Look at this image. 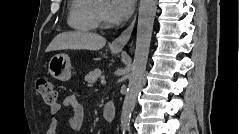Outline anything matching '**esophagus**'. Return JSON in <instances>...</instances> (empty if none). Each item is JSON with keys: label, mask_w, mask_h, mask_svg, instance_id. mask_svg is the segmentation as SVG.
<instances>
[{"label": "esophagus", "mask_w": 239, "mask_h": 134, "mask_svg": "<svg viewBox=\"0 0 239 134\" xmlns=\"http://www.w3.org/2000/svg\"><path fill=\"white\" fill-rule=\"evenodd\" d=\"M136 16L130 23V25L116 38L112 41L111 46L116 49H122L128 43L131 38L133 28L135 25Z\"/></svg>", "instance_id": "34e87169"}]
</instances>
